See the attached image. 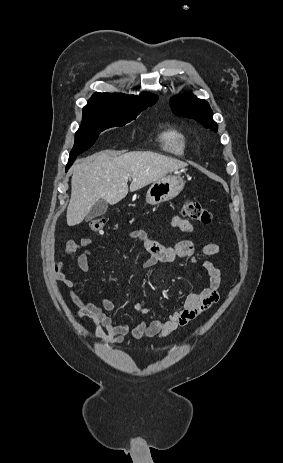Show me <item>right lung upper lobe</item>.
<instances>
[{
    "mask_svg": "<svg viewBox=\"0 0 283 463\" xmlns=\"http://www.w3.org/2000/svg\"><path fill=\"white\" fill-rule=\"evenodd\" d=\"M158 97L146 92L141 93L139 96L126 95V94H111V93H95L89 100L91 102H102L107 104H126L135 106H145L155 103Z\"/></svg>",
    "mask_w": 283,
    "mask_h": 463,
    "instance_id": "1",
    "label": "right lung upper lobe"
}]
</instances>
